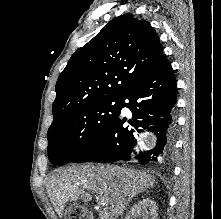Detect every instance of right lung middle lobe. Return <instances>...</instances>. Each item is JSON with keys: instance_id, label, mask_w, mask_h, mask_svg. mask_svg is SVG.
<instances>
[{"instance_id": "dd1d6c3e", "label": "right lung middle lobe", "mask_w": 221, "mask_h": 219, "mask_svg": "<svg viewBox=\"0 0 221 219\" xmlns=\"http://www.w3.org/2000/svg\"><path fill=\"white\" fill-rule=\"evenodd\" d=\"M121 104V99L90 102L54 121L47 133L49 161L66 164L89 150L118 117Z\"/></svg>"}]
</instances>
